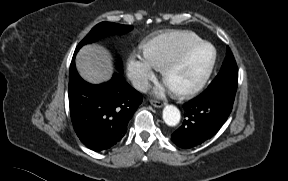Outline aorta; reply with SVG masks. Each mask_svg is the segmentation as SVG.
<instances>
[{
	"instance_id": "aorta-1",
	"label": "aorta",
	"mask_w": 288,
	"mask_h": 181,
	"mask_svg": "<svg viewBox=\"0 0 288 181\" xmlns=\"http://www.w3.org/2000/svg\"><path fill=\"white\" fill-rule=\"evenodd\" d=\"M181 119L179 109L174 105H167L163 109V120L168 126H176Z\"/></svg>"
}]
</instances>
